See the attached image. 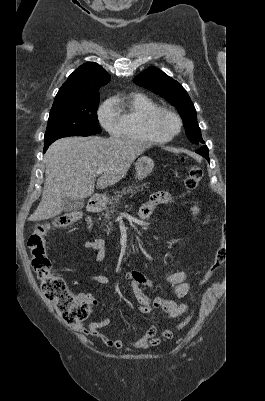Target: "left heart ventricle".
Returning <instances> with one entry per match:
<instances>
[{"label":"left heart ventricle","mask_w":265,"mask_h":401,"mask_svg":"<svg viewBox=\"0 0 265 401\" xmlns=\"http://www.w3.org/2000/svg\"><path fill=\"white\" fill-rule=\"evenodd\" d=\"M177 122L168 116H160L155 123V134L159 139H166L176 133Z\"/></svg>","instance_id":"left-heart-ventricle-1"}]
</instances>
